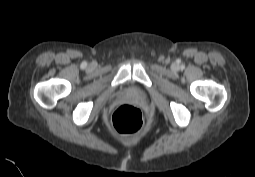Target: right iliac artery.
Returning <instances> with one entry per match:
<instances>
[{"mask_svg": "<svg viewBox=\"0 0 255 177\" xmlns=\"http://www.w3.org/2000/svg\"><path fill=\"white\" fill-rule=\"evenodd\" d=\"M82 66H83V67H85V66H86V63H85V62H83V63H82Z\"/></svg>", "mask_w": 255, "mask_h": 177, "instance_id": "1", "label": "right iliac artery"}]
</instances>
